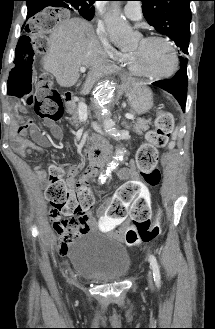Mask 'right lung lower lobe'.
<instances>
[{"instance_id": "1", "label": "right lung lower lobe", "mask_w": 215, "mask_h": 329, "mask_svg": "<svg viewBox=\"0 0 215 329\" xmlns=\"http://www.w3.org/2000/svg\"><path fill=\"white\" fill-rule=\"evenodd\" d=\"M27 8H28V14L27 18L33 16L34 14L38 13L43 9L42 4L43 1L40 0H26Z\"/></svg>"}]
</instances>
